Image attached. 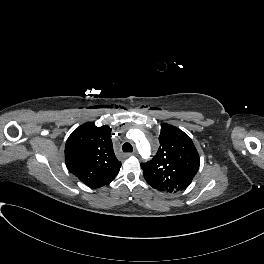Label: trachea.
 Wrapping results in <instances>:
<instances>
[{"instance_id":"1","label":"trachea","mask_w":264,"mask_h":264,"mask_svg":"<svg viewBox=\"0 0 264 264\" xmlns=\"http://www.w3.org/2000/svg\"><path fill=\"white\" fill-rule=\"evenodd\" d=\"M122 150L124 152H132L133 151V147H132V145L130 143L126 142V143L123 144Z\"/></svg>"}]
</instances>
